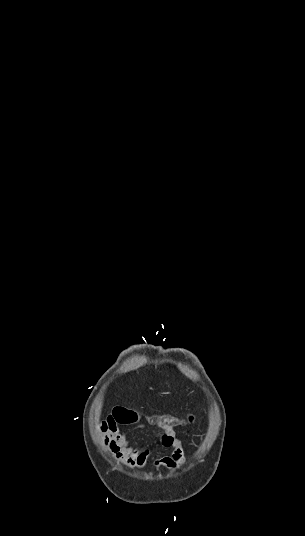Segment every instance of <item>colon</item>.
Here are the masks:
<instances>
[{
    "mask_svg": "<svg viewBox=\"0 0 305 536\" xmlns=\"http://www.w3.org/2000/svg\"><path fill=\"white\" fill-rule=\"evenodd\" d=\"M114 415H116L117 417V424H121V426H129L138 422L139 420L138 411L132 409H118L117 411H114ZM161 421L167 426H171L176 423H184L191 425L193 423V417L188 416L183 419H180L175 416H163L161 417Z\"/></svg>",
    "mask_w": 305,
    "mask_h": 536,
    "instance_id": "obj_1",
    "label": "colon"
}]
</instances>
